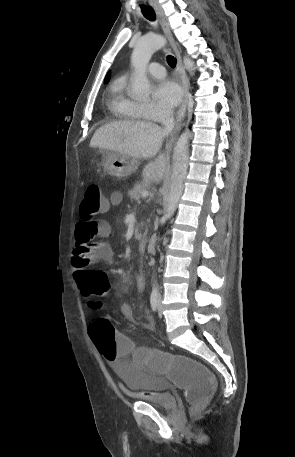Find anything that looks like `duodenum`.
<instances>
[{"label": "duodenum", "instance_id": "410a0bca", "mask_svg": "<svg viewBox=\"0 0 295 457\" xmlns=\"http://www.w3.org/2000/svg\"><path fill=\"white\" fill-rule=\"evenodd\" d=\"M148 240L146 238H141L139 240V250L144 252L147 248Z\"/></svg>", "mask_w": 295, "mask_h": 457}]
</instances>
